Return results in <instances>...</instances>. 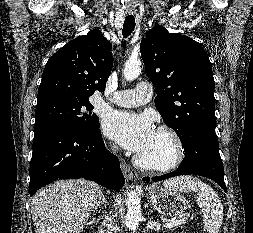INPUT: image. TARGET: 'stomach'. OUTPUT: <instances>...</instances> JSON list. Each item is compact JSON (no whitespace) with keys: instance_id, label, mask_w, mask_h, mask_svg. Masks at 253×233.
<instances>
[{"instance_id":"obj_1","label":"stomach","mask_w":253,"mask_h":233,"mask_svg":"<svg viewBox=\"0 0 253 233\" xmlns=\"http://www.w3.org/2000/svg\"><path fill=\"white\" fill-rule=\"evenodd\" d=\"M152 207L163 216L178 217L187 209V202L179 191L153 185L148 189Z\"/></svg>"}]
</instances>
